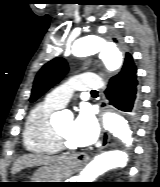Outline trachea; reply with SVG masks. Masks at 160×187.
<instances>
[{
  "label": "trachea",
  "instance_id": "trachea-1",
  "mask_svg": "<svg viewBox=\"0 0 160 187\" xmlns=\"http://www.w3.org/2000/svg\"><path fill=\"white\" fill-rule=\"evenodd\" d=\"M91 92H92V93H96L97 91H96V90H92Z\"/></svg>",
  "mask_w": 160,
  "mask_h": 187
}]
</instances>
